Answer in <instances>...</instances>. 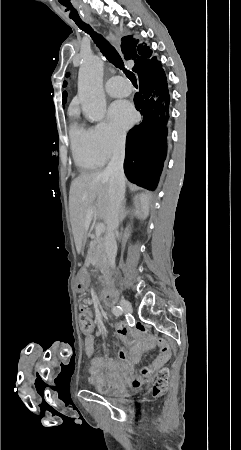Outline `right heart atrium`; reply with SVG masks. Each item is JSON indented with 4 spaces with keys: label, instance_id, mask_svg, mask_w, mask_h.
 Here are the masks:
<instances>
[{
    "label": "right heart atrium",
    "instance_id": "1",
    "mask_svg": "<svg viewBox=\"0 0 241 450\" xmlns=\"http://www.w3.org/2000/svg\"><path fill=\"white\" fill-rule=\"evenodd\" d=\"M92 136L93 150L101 159L106 161L115 155H127L128 148L124 146L125 134L108 123L97 124Z\"/></svg>",
    "mask_w": 241,
    "mask_h": 450
}]
</instances>
